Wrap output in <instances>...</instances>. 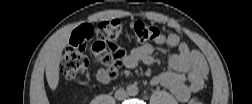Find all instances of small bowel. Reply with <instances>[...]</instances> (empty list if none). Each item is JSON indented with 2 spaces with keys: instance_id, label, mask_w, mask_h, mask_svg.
<instances>
[{
  "instance_id": "1",
  "label": "small bowel",
  "mask_w": 252,
  "mask_h": 104,
  "mask_svg": "<svg viewBox=\"0 0 252 104\" xmlns=\"http://www.w3.org/2000/svg\"><path fill=\"white\" fill-rule=\"evenodd\" d=\"M156 43L166 45L177 50V52L169 58L171 70L153 77L150 82L151 85L165 87L179 101H187L192 93L202 89L204 81L209 75V68L205 59L198 51L191 50L174 33L162 36ZM153 52V45L143 44L134 48L129 54L123 55L121 63L129 69L135 68L139 63L151 65L154 62ZM92 78L104 85L109 84L112 80L104 67L93 72Z\"/></svg>"
}]
</instances>
